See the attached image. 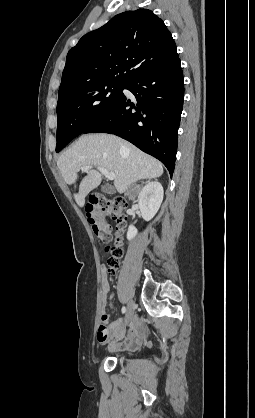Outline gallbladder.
I'll return each mask as SVG.
<instances>
[{
    "label": "gallbladder",
    "mask_w": 255,
    "mask_h": 418,
    "mask_svg": "<svg viewBox=\"0 0 255 418\" xmlns=\"http://www.w3.org/2000/svg\"><path fill=\"white\" fill-rule=\"evenodd\" d=\"M102 192L106 193V194H112L115 192L114 187L110 186V185H104L102 187Z\"/></svg>",
    "instance_id": "1"
}]
</instances>
